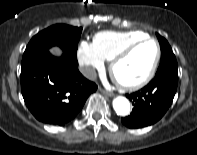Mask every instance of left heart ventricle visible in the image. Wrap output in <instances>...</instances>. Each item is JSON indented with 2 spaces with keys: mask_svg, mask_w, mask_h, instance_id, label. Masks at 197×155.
I'll list each match as a JSON object with an SVG mask.
<instances>
[{
  "mask_svg": "<svg viewBox=\"0 0 197 155\" xmlns=\"http://www.w3.org/2000/svg\"><path fill=\"white\" fill-rule=\"evenodd\" d=\"M156 56V46L146 42L138 46L115 68L116 78L124 83L140 81L148 73Z\"/></svg>",
  "mask_w": 197,
  "mask_h": 155,
  "instance_id": "obj_1",
  "label": "left heart ventricle"
}]
</instances>
